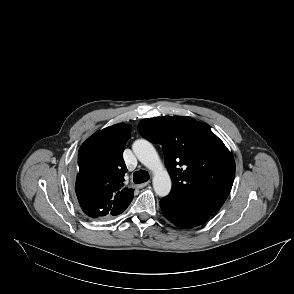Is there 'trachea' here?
<instances>
[{
	"mask_svg": "<svg viewBox=\"0 0 294 294\" xmlns=\"http://www.w3.org/2000/svg\"><path fill=\"white\" fill-rule=\"evenodd\" d=\"M149 178H150L149 173L145 170H139L134 172L133 174V181L135 184L146 182L149 180Z\"/></svg>",
	"mask_w": 294,
	"mask_h": 294,
	"instance_id": "trachea-1",
	"label": "trachea"
}]
</instances>
